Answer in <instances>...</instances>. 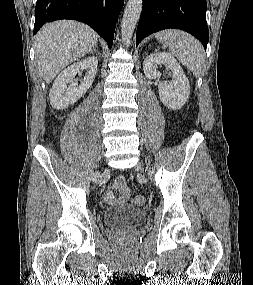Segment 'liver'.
<instances>
[{"label":"liver","mask_w":253,"mask_h":285,"mask_svg":"<svg viewBox=\"0 0 253 285\" xmlns=\"http://www.w3.org/2000/svg\"><path fill=\"white\" fill-rule=\"evenodd\" d=\"M97 34L89 26L71 20L46 24L35 36L38 69L49 84L68 64L97 45Z\"/></svg>","instance_id":"1"}]
</instances>
